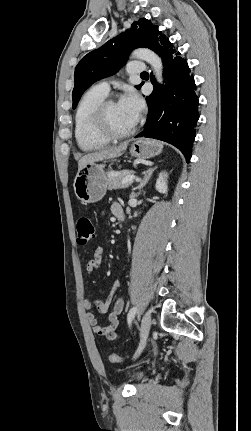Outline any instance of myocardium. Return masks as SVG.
<instances>
[{"mask_svg":"<svg viewBox=\"0 0 251 431\" xmlns=\"http://www.w3.org/2000/svg\"><path fill=\"white\" fill-rule=\"evenodd\" d=\"M114 102H116V100L113 97L104 98L94 113L93 125L96 133L108 140L129 137L136 131L138 125V121H136L130 129L122 132L112 129L108 121V108Z\"/></svg>","mask_w":251,"mask_h":431,"instance_id":"myocardium-1","label":"myocardium"}]
</instances>
